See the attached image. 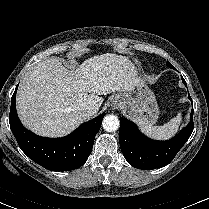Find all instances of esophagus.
Masks as SVG:
<instances>
[{
    "instance_id": "obj_1",
    "label": "esophagus",
    "mask_w": 209,
    "mask_h": 209,
    "mask_svg": "<svg viewBox=\"0 0 209 209\" xmlns=\"http://www.w3.org/2000/svg\"><path fill=\"white\" fill-rule=\"evenodd\" d=\"M122 106V102L120 100H118L117 98L115 100L112 101L111 107L112 109H119Z\"/></svg>"
}]
</instances>
